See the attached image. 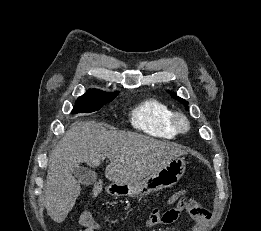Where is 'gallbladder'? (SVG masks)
<instances>
[{
	"mask_svg": "<svg viewBox=\"0 0 261 231\" xmlns=\"http://www.w3.org/2000/svg\"><path fill=\"white\" fill-rule=\"evenodd\" d=\"M74 175L84 186L92 185L97 180V173L94 170L84 166H78L75 169Z\"/></svg>",
	"mask_w": 261,
	"mask_h": 231,
	"instance_id": "obj_1",
	"label": "gallbladder"
}]
</instances>
